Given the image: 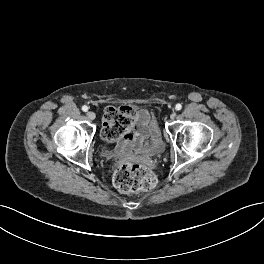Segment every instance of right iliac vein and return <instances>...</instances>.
<instances>
[{
  "instance_id": "63e3f726",
  "label": "right iliac vein",
  "mask_w": 264,
  "mask_h": 264,
  "mask_svg": "<svg viewBox=\"0 0 264 264\" xmlns=\"http://www.w3.org/2000/svg\"><path fill=\"white\" fill-rule=\"evenodd\" d=\"M86 115H87V118H88L89 120H94L95 117H96L95 113L92 112V111L87 112Z\"/></svg>"
}]
</instances>
